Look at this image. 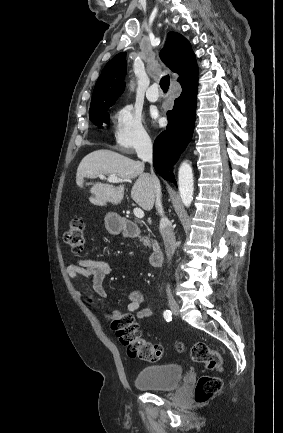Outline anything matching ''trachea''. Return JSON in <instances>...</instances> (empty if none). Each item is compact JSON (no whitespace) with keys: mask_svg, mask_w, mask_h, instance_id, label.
Returning a JSON list of instances; mask_svg holds the SVG:
<instances>
[{"mask_svg":"<svg viewBox=\"0 0 283 433\" xmlns=\"http://www.w3.org/2000/svg\"><path fill=\"white\" fill-rule=\"evenodd\" d=\"M169 85H170V77L169 75H165L160 80V87L164 92H167L169 89Z\"/></svg>","mask_w":283,"mask_h":433,"instance_id":"3493384b","label":"trachea"}]
</instances>
